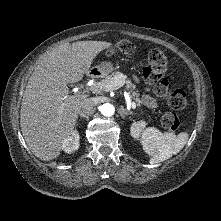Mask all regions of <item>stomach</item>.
Instances as JSON below:
<instances>
[{"instance_id":"obj_1","label":"stomach","mask_w":221,"mask_h":221,"mask_svg":"<svg viewBox=\"0 0 221 221\" xmlns=\"http://www.w3.org/2000/svg\"><path fill=\"white\" fill-rule=\"evenodd\" d=\"M114 70V66L111 62H102L93 69V72L99 76H106Z\"/></svg>"}]
</instances>
